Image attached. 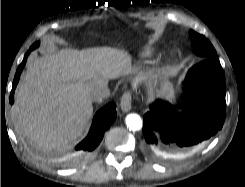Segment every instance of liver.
I'll return each instance as SVG.
<instances>
[{
	"instance_id": "1",
	"label": "liver",
	"mask_w": 245,
	"mask_h": 187,
	"mask_svg": "<svg viewBox=\"0 0 245 187\" xmlns=\"http://www.w3.org/2000/svg\"><path fill=\"white\" fill-rule=\"evenodd\" d=\"M130 69L128 52L113 47L65 48L32 59L15 93L18 131L46 148L67 146L92 117L91 90Z\"/></svg>"
}]
</instances>
